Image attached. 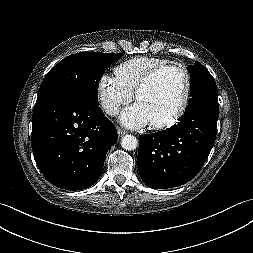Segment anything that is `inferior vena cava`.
<instances>
[{
	"label": "inferior vena cava",
	"mask_w": 253,
	"mask_h": 253,
	"mask_svg": "<svg viewBox=\"0 0 253 253\" xmlns=\"http://www.w3.org/2000/svg\"><path fill=\"white\" fill-rule=\"evenodd\" d=\"M105 112L109 115L115 116L119 113V106L115 103H109L104 106Z\"/></svg>",
	"instance_id": "602c4592"
}]
</instances>
